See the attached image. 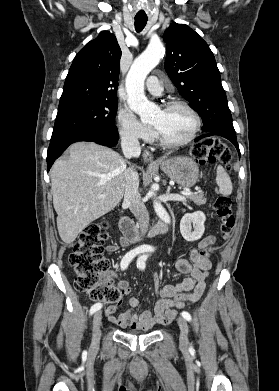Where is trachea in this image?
I'll use <instances>...</instances> for the list:
<instances>
[{"label": "trachea", "mask_w": 279, "mask_h": 391, "mask_svg": "<svg viewBox=\"0 0 279 391\" xmlns=\"http://www.w3.org/2000/svg\"><path fill=\"white\" fill-rule=\"evenodd\" d=\"M147 18H135V29L137 32H141L147 24Z\"/></svg>", "instance_id": "1"}]
</instances>
